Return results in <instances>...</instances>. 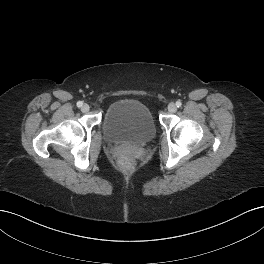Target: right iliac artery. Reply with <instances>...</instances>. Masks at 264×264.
<instances>
[{"instance_id":"1","label":"right iliac artery","mask_w":264,"mask_h":264,"mask_svg":"<svg viewBox=\"0 0 264 264\" xmlns=\"http://www.w3.org/2000/svg\"><path fill=\"white\" fill-rule=\"evenodd\" d=\"M82 105H83V102L82 101H78L77 102V107H82Z\"/></svg>"}]
</instances>
